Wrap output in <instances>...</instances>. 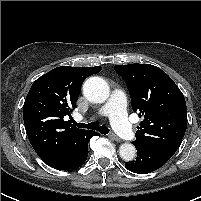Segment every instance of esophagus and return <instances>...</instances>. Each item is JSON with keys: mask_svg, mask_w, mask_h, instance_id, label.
<instances>
[{"mask_svg": "<svg viewBox=\"0 0 201 201\" xmlns=\"http://www.w3.org/2000/svg\"><path fill=\"white\" fill-rule=\"evenodd\" d=\"M108 137H109L110 139H112V140H115V141H117V142H120V138H119L116 134H114V133H110V134L108 135Z\"/></svg>", "mask_w": 201, "mask_h": 201, "instance_id": "1", "label": "esophagus"}]
</instances>
